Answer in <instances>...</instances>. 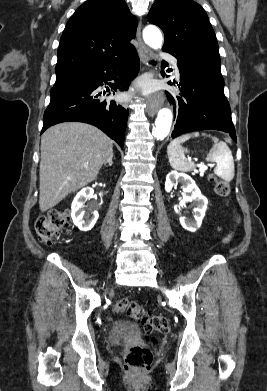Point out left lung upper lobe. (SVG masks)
Segmentation results:
<instances>
[{"label": "left lung upper lobe", "instance_id": "5c2ea615", "mask_svg": "<svg viewBox=\"0 0 267 391\" xmlns=\"http://www.w3.org/2000/svg\"><path fill=\"white\" fill-rule=\"evenodd\" d=\"M147 19L163 30V50L220 70L217 39L199 4L192 0H156Z\"/></svg>", "mask_w": 267, "mask_h": 391}]
</instances>
